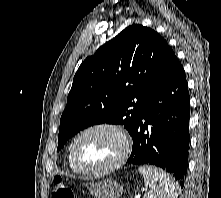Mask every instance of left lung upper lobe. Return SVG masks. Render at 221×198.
I'll return each instance as SVG.
<instances>
[{"label":"left lung upper lobe","instance_id":"obj_1","mask_svg":"<svg viewBox=\"0 0 221 198\" xmlns=\"http://www.w3.org/2000/svg\"><path fill=\"white\" fill-rule=\"evenodd\" d=\"M174 52L154 30L131 25L84 60L60 119L58 148L91 125L122 124L132 135L143 104Z\"/></svg>","mask_w":221,"mask_h":198}]
</instances>
